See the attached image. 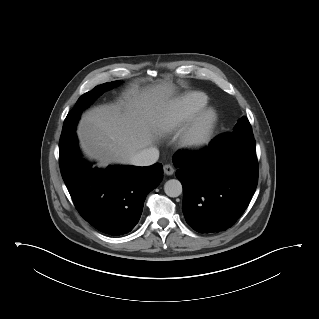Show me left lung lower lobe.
<instances>
[{
  "instance_id": "1",
  "label": "left lung lower lobe",
  "mask_w": 319,
  "mask_h": 319,
  "mask_svg": "<svg viewBox=\"0 0 319 319\" xmlns=\"http://www.w3.org/2000/svg\"><path fill=\"white\" fill-rule=\"evenodd\" d=\"M173 163L183 185V214L197 232L225 231L243 214L256 190L254 137L224 134L196 154L177 152Z\"/></svg>"
}]
</instances>
